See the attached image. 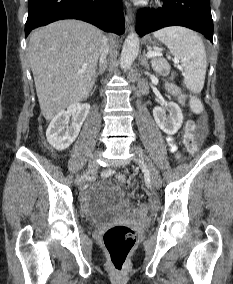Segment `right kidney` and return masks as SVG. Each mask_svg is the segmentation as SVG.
<instances>
[{
  "mask_svg": "<svg viewBox=\"0 0 233 284\" xmlns=\"http://www.w3.org/2000/svg\"><path fill=\"white\" fill-rule=\"evenodd\" d=\"M89 110L88 103H74L67 108V111L59 112L46 131L48 143L59 151L67 149L77 138ZM71 116L73 121L68 126Z\"/></svg>",
  "mask_w": 233,
  "mask_h": 284,
  "instance_id": "obj_1",
  "label": "right kidney"
}]
</instances>
